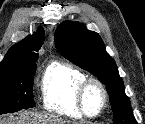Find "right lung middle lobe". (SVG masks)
<instances>
[{"label":"right lung middle lobe","mask_w":145,"mask_h":124,"mask_svg":"<svg viewBox=\"0 0 145 124\" xmlns=\"http://www.w3.org/2000/svg\"><path fill=\"white\" fill-rule=\"evenodd\" d=\"M36 64L7 73H0V115L35 106L33 77Z\"/></svg>","instance_id":"right-lung-middle-lobe-1"}]
</instances>
